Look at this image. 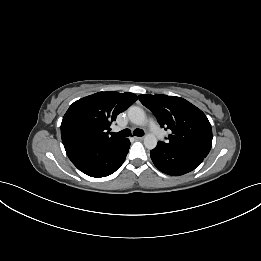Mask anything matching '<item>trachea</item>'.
<instances>
[{
    "label": "trachea",
    "mask_w": 261,
    "mask_h": 261,
    "mask_svg": "<svg viewBox=\"0 0 261 261\" xmlns=\"http://www.w3.org/2000/svg\"><path fill=\"white\" fill-rule=\"evenodd\" d=\"M133 134L135 136H143L144 135V131L141 130V129H135ZM112 136L114 137H120V138H123V137H128L131 135V131L129 129H124L118 133H111Z\"/></svg>",
    "instance_id": "trachea-1"
}]
</instances>
